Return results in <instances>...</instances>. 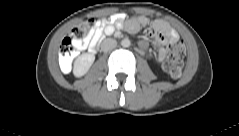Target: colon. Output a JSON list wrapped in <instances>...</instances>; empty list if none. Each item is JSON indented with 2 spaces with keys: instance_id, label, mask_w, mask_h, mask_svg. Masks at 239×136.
I'll return each instance as SVG.
<instances>
[{
  "instance_id": "colon-1",
  "label": "colon",
  "mask_w": 239,
  "mask_h": 136,
  "mask_svg": "<svg viewBox=\"0 0 239 136\" xmlns=\"http://www.w3.org/2000/svg\"><path fill=\"white\" fill-rule=\"evenodd\" d=\"M95 25V19H88L85 22L75 26L69 36L62 40L59 48V65L64 71H68L71 67V62L75 55L76 44L87 38ZM184 58V45L180 42H174L169 47L168 59L164 64V69L169 76L172 78L181 76Z\"/></svg>"
}]
</instances>
